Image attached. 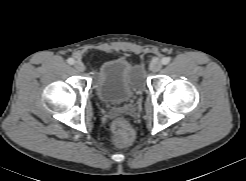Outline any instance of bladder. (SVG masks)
Segmentation results:
<instances>
[{"label":"bladder","instance_id":"31cf9c89","mask_svg":"<svg viewBox=\"0 0 246 181\" xmlns=\"http://www.w3.org/2000/svg\"><path fill=\"white\" fill-rule=\"evenodd\" d=\"M141 69L123 58L104 62L95 76L99 99L106 104L129 101L140 89Z\"/></svg>","mask_w":246,"mask_h":181}]
</instances>
